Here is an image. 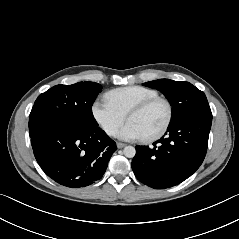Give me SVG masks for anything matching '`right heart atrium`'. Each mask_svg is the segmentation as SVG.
I'll return each instance as SVG.
<instances>
[{
	"mask_svg": "<svg viewBox=\"0 0 239 239\" xmlns=\"http://www.w3.org/2000/svg\"><path fill=\"white\" fill-rule=\"evenodd\" d=\"M92 114L101 129L109 136L116 134L125 121L126 115L104 98L97 99L92 105Z\"/></svg>",
	"mask_w": 239,
	"mask_h": 239,
	"instance_id": "obj_1",
	"label": "right heart atrium"
}]
</instances>
